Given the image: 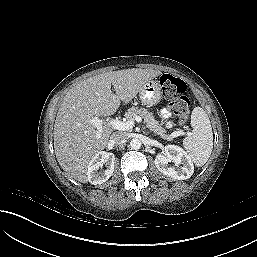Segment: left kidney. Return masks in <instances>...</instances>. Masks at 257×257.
Segmentation results:
<instances>
[{"label": "left kidney", "mask_w": 257, "mask_h": 257, "mask_svg": "<svg viewBox=\"0 0 257 257\" xmlns=\"http://www.w3.org/2000/svg\"><path fill=\"white\" fill-rule=\"evenodd\" d=\"M171 162L175 163L176 167L170 166ZM154 163L161 173L177 180H186L194 172L191 158L176 145H167L162 153L157 154Z\"/></svg>", "instance_id": "obj_1"}]
</instances>
